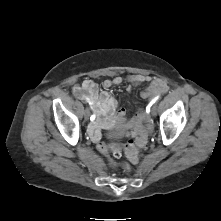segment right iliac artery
<instances>
[{"mask_svg":"<svg viewBox=\"0 0 221 221\" xmlns=\"http://www.w3.org/2000/svg\"><path fill=\"white\" fill-rule=\"evenodd\" d=\"M95 119V115H91L90 120L93 121Z\"/></svg>","mask_w":221,"mask_h":221,"instance_id":"right-iliac-artery-1","label":"right iliac artery"}]
</instances>
